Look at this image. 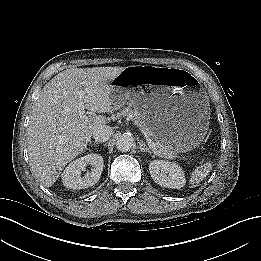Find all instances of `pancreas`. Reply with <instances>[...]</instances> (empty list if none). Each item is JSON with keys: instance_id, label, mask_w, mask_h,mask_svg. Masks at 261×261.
I'll return each mask as SVG.
<instances>
[{"instance_id": "1", "label": "pancreas", "mask_w": 261, "mask_h": 261, "mask_svg": "<svg viewBox=\"0 0 261 261\" xmlns=\"http://www.w3.org/2000/svg\"><path fill=\"white\" fill-rule=\"evenodd\" d=\"M116 117H130L134 124L137 125L142 132L146 133L150 138L154 139L152 131L148 128L146 121L142 119L141 113L137 109L124 107L119 113H117ZM154 141L160 156L171 159L177 157V152L171 145L155 139Z\"/></svg>"}]
</instances>
